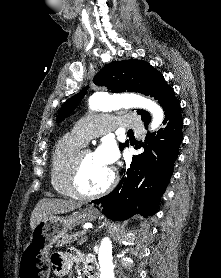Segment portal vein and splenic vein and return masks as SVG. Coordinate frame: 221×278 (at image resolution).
<instances>
[{
	"label": "portal vein and splenic vein",
	"instance_id": "18ae733b",
	"mask_svg": "<svg viewBox=\"0 0 221 278\" xmlns=\"http://www.w3.org/2000/svg\"><path fill=\"white\" fill-rule=\"evenodd\" d=\"M87 236H85L84 238L81 239V243L85 242L87 240Z\"/></svg>",
	"mask_w": 221,
	"mask_h": 278
}]
</instances>
